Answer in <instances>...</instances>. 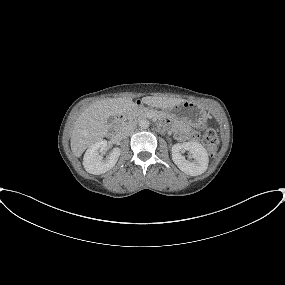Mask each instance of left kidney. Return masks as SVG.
Here are the masks:
<instances>
[{
  "label": "left kidney",
  "instance_id": "left-kidney-1",
  "mask_svg": "<svg viewBox=\"0 0 285 285\" xmlns=\"http://www.w3.org/2000/svg\"><path fill=\"white\" fill-rule=\"evenodd\" d=\"M172 160L186 174L198 176L208 168L209 158L206 149L198 142H184L173 145ZM189 151L194 161H188L182 152Z\"/></svg>",
  "mask_w": 285,
  "mask_h": 285
}]
</instances>
